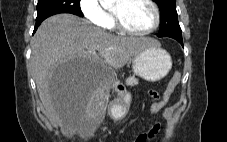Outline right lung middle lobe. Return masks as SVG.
Wrapping results in <instances>:
<instances>
[{"label": "right lung middle lobe", "mask_w": 227, "mask_h": 142, "mask_svg": "<svg viewBox=\"0 0 227 142\" xmlns=\"http://www.w3.org/2000/svg\"><path fill=\"white\" fill-rule=\"evenodd\" d=\"M57 13H71L82 17L80 0H38L36 20L46 19Z\"/></svg>", "instance_id": "obj_1"}]
</instances>
